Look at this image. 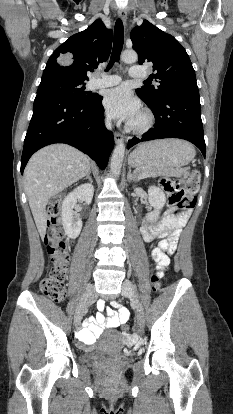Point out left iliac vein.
<instances>
[{"mask_svg": "<svg viewBox=\"0 0 233 414\" xmlns=\"http://www.w3.org/2000/svg\"><path fill=\"white\" fill-rule=\"evenodd\" d=\"M121 294L125 297L130 298L133 301L134 306H135L137 324L140 328H143L145 324L144 310L136 296L134 286L130 281L123 282Z\"/></svg>", "mask_w": 233, "mask_h": 414, "instance_id": "4c4485c4", "label": "left iliac vein"}]
</instances>
